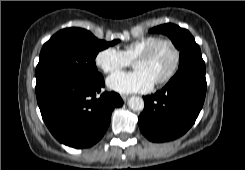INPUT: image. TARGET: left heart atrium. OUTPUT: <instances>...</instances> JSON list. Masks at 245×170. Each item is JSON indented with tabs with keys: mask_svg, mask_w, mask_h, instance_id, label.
Segmentation results:
<instances>
[{
	"mask_svg": "<svg viewBox=\"0 0 245 170\" xmlns=\"http://www.w3.org/2000/svg\"><path fill=\"white\" fill-rule=\"evenodd\" d=\"M154 81L145 71L119 72L107 79L110 89L120 93L146 92L153 87Z\"/></svg>",
	"mask_w": 245,
	"mask_h": 170,
	"instance_id": "obj_1",
	"label": "left heart atrium"
}]
</instances>
